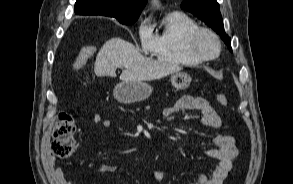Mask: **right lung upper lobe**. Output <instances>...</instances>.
<instances>
[{"label": "right lung upper lobe", "mask_w": 293, "mask_h": 184, "mask_svg": "<svg viewBox=\"0 0 293 184\" xmlns=\"http://www.w3.org/2000/svg\"><path fill=\"white\" fill-rule=\"evenodd\" d=\"M147 0H77V15H101L116 18L119 22L137 20Z\"/></svg>", "instance_id": "obj_1"}]
</instances>
